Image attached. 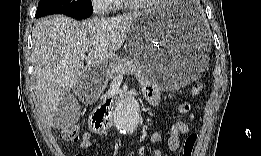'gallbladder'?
Masks as SVG:
<instances>
[{"label":"gallbladder","mask_w":261,"mask_h":156,"mask_svg":"<svg viewBox=\"0 0 261 156\" xmlns=\"http://www.w3.org/2000/svg\"><path fill=\"white\" fill-rule=\"evenodd\" d=\"M62 101H60L59 105H55L59 107L57 113H55V127L57 128H69L73 126L80 117L79 109L81 108L78 105L77 98L73 94H65ZM71 95V96H70Z\"/></svg>","instance_id":"gallbladder-1"}]
</instances>
